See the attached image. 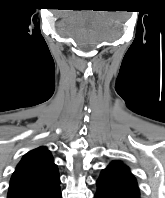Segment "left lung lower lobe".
Returning <instances> with one entry per match:
<instances>
[{
	"instance_id": "0a47b994",
	"label": "left lung lower lobe",
	"mask_w": 165,
	"mask_h": 198,
	"mask_svg": "<svg viewBox=\"0 0 165 198\" xmlns=\"http://www.w3.org/2000/svg\"><path fill=\"white\" fill-rule=\"evenodd\" d=\"M96 184L97 192L94 198H140L139 188L106 170L101 172Z\"/></svg>"
}]
</instances>
